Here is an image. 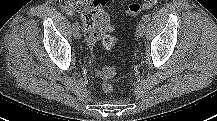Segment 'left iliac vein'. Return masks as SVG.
I'll return each instance as SVG.
<instances>
[{
  "label": "left iliac vein",
  "mask_w": 217,
  "mask_h": 121,
  "mask_svg": "<svg viewBox=\"0 0 217 121\" xmlns=\"http://www.w3.org/2000/svg\"><path fill=\"white\" fill-rule=\"evenodd\" d=\"M146 31V25L143 22H140L136 28V36L142 37Z\"/></svg>",
  "instance_id": "4c4485c4"
}]
</instances>
